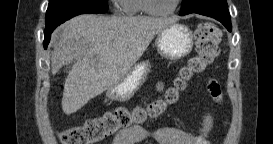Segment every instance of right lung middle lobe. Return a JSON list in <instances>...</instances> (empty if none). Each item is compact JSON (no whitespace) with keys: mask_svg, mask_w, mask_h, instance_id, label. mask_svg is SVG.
<instances>
[{"mask_svg":"<svg viewBox=\"0 0 273 144\" xmlns=\"http://www.w3.org/2000/svg\"><path fill=\"white\" fill-rule=\"evenodd\" d=\"M79 9H93L105 13L108 11V0H49L45 26L49 27L61 14Z\"/></svg>","mask_w":273,"mask_h":144,"instance_id":"right-lung-middle-lobe-1","label":"right lung middle lobe"}]
</instances>
